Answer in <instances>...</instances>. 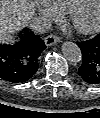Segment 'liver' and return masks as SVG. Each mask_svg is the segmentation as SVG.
Segmentation results:
<instances>
[{
    "mask_svg": "<svg viewBox=\"0 0 100 118\" xmlns=\"http://www.w3.org/2000/svg\"><path fill=\"white\" fill-rule=\"evenodd\" d=\"M34 14V0H0L1 42L12 43L14 32L26 27Z\"/></svg>",
    "mask_w": 100,
    "mask_h": 118,
    "instance_id": "1",
    "label": "liver"
}]
</instances>
